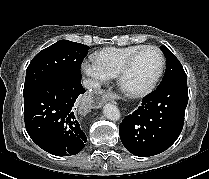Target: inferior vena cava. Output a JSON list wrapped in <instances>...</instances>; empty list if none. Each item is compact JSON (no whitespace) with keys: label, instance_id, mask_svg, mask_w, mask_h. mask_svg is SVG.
<instances>
[{"label":"inferior vena cava","instance_id":"602c4592","mask_svg":"<svg viewBox=\"0 0 209 179\" xmlns=\"http://www.w3.org/2000/svg\"><path fill=\"white\" fill-rule=\"evenodd\" d=\"M83 86L86 89L98 88L99 83L94 80H91V79H85V80H83Z\"/></svg>","mask_w":209,"mask_h":179}]
</instances>
